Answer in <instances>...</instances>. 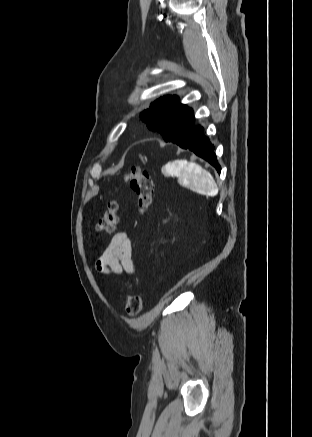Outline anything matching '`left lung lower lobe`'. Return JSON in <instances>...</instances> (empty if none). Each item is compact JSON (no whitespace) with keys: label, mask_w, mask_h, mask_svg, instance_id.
Returning a JSON list of instances; mask_svg holds the SVG:
<instances>
[{"label":"left lung lower lobe","mask_w":312,"mask_h":437,"mask_svg":"<svg viewBox=\"0 0 312 437\" xmlns=\"http://www.w3.org/2000/svg\"><path fill=\"white\" fill-rule=\"evenodd\" d=\"M173 143L183 149L193 151L196 155L208 161L220 173L221 167L217 163L214 146L205 137L201 125H194L188 133Z\"/></svg>","instance_id":"1"}]
</instances>
